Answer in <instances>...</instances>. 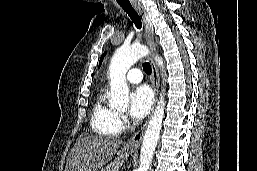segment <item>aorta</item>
I'll return each instance as SVG.
<instances>
[{"mask_svg": "<svg viewBox=\"0 0 257 171\" xmlns=\"http://www.w3.org/2000/svg\"><path fill=\"white\" fill-rule=\"evenodd\" d=\"M148 53V48L140 44H133L129 47H120L115 51L109 66V102L111 106L116 108H126L128 106L129 88L126 83V73L136 61L148 55ZM156 62L163 70V60L160 57H156ZM164 106V94H161L143 138L140 152V167L138 171H148L150 168L153 153L162 127Z\"/></svg>", "mask_w": 257, "mask_h": 171, "instance_id": "1", "label": "aorta"}]
</instances>
